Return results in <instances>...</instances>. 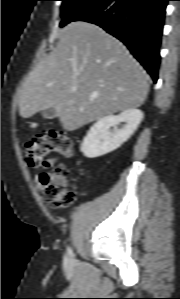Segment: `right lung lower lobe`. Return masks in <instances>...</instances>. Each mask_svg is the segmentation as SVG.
Returning <instances> with one entry per match:
<instances>
[{"label": "right lung lower lobe", "mask_w": 180, "mask_h": 299, "mask_svg": "<svg viewBox=\"0 0 180 299\" xmlns=\"http://www.w3.org/2000/svg\"><path fill=\"white\" fill-rule=\"evenodd\" d=\"M167 1L102 0L75 21L96 24L122 41L156 83Z\"/></svg>", "instance_id": "1"}]
</instances>
